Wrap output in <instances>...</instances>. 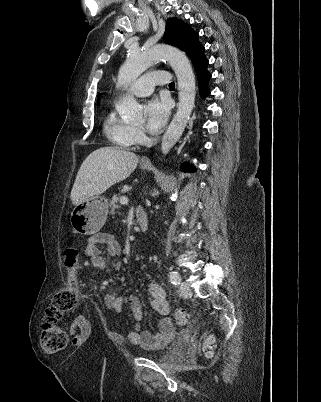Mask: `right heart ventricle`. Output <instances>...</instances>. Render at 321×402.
Instances as JSON below:
<instances>
[{
	"label": "right heart ventricle",
	"instance_id": "right-heart-ventricle-1",
	"mask_svg": "<svg viewBox=\"0 0 321 402\" xmlns=\"http://www.w3.org/2000/svg\"><path fill=\"white\" fill-rule=\"evenodd\" d=\"M104 131L109 141L117 147L130 149L137 142L134 136V126L114 111H110L104 121Z\"/></svg>",
	"mask_w": 321,
	"mask_h": 402
}]
</instances>
